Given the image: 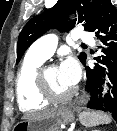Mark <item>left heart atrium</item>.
Segmentation results:
<instances>
[{"mask_svg": "<svg viewBox=\"0 0 117 131\" xmlns=\"http://www.w3.org/2000/svg\"><path fill=\"white\" fill-rule=\"evenodd\" d=\"M62 79L69 85L75 86L80 79V68L75 59L68 57L59 67Z\"/></svg>", "mask_w": 117, "mask_h": 131, "instance_id": "obj_1", "label": "left heart atrium"}]
</instances>
